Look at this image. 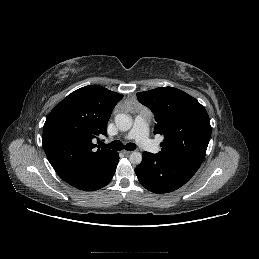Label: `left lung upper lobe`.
<instances>
[{
  "label": "left lung upper lobe",
  "instance_id": "5c2ea615",
  "mask_svg": "<svg viewBox=\"0 0 259 259\" xmlns=\"http://www.w3.org/2000/svg\"><path fill=\"white\" fill-rule=\"evenodd\" d=\"M155 115V134L164 136L157 155L199 168L205 158L211 125L205 108L192 96L163 87L137 93Z\"/></svg>",
  "mask_w": 259,
  "mask_h": 259
}]
</instances>
